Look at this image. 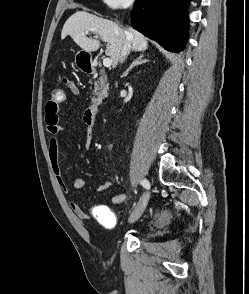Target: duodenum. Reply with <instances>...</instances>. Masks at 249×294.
<instances>
[{
	"mask_svg": "<svg viewBox=\"0 0 249 294\" xmlns=\"http://www.w3.org/2000/svg\"><path fill=\"white\" fill-rule=\"evenodd\" d=\"M83 70L89 74H95L96 73V68L94 64L88 63L83 66ZM101 101L99 98H95L87 108L86 112L91 120H95L98 109L100 107Z\"/></svg>",
	"mask_w": 249,
	"mask_h": 294,
	"instance_id": "410a0bca",
	"label": "duodenum"
}]
</instances>
